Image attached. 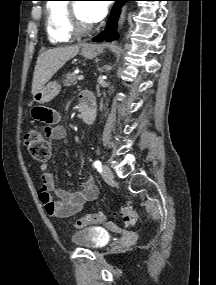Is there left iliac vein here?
<instances>
[{
	"mask_svg": "<svg viewBox=\"0 0 216 285\" xmlns=\"http://www.w3.org/2000/svg\"><path fill=\"white\" fill-rule=\"evenodd\" d=\"M102 177L107 183H111L114 180L113 173L107 165H104L102 168Z\"/></svg>",
	"mask_w": 216,
	"mask_h": 285,
	"instance_id": "4c4485c4",
	"label": "left iliac vein"
}]
</instances>
